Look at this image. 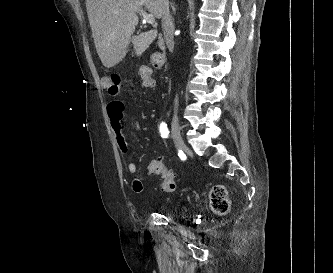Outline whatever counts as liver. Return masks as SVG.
Listing matches in <instances>:
<instances>
[{
    "label": "liver",
    "mask_w": 333,
    "mask_h": 273,
    "mask_svg": "<svg viewBox=\"0 0 333 273\" xmlns=\"http://www.w3.org/2000/svg\"><path fill=\"white\" fill-rule=\"evenodd\" d=\"M142 7L161 18L159 0H86L94 44L105 67H113L125 57Z\"/></svg>",
    "instance_id": "6515ba94"
}]
</instances>
